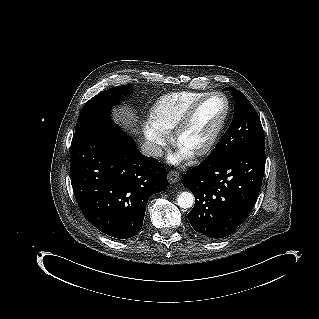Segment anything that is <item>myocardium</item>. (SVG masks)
I'll return each mask as SVG.
<instances>
[{
    "mask_svg": "<svg viewBox=\"0 0 319 319\" xmlns=\"http://www.w3.org/2000/svg\"><path fill=\"white\" fill-rule=\"evenodd\" d=\"M213 97H220L223 99V102H224V110H223L222 116H221L218 124L216 125L215 129L213 130L211 135L208 137V139L202 145H200L196 148H191V149H187V148L183 147V145L181 143V135H182L183 130L190 123V121L192 120V118H193L194 114L196 113V111L198 110V108L204 102H206L207 100H209ZM228 112H229V102L223 93L218 92V91H214V92H210V93L205 94L203 97H201L198 101H196L188 109V111L186 112L184 117L181 119V121L174 128V132H173L174 143L178 147H180L181 149L186 151L191 156L195 157V156H201V155L206 154L213 147L217 138L219 137V135L224 127V124L226 122Z\"/></svg>",
    "mask_w": 319,
    "mask_h": 319,
    "instance_id": "f54148a6",
    "label": "myocardium"
}]
</instances>
